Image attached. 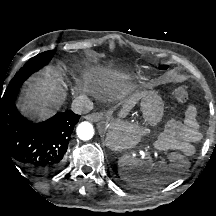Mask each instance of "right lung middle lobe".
<instances>
[{"label":"right lung middle lobe","instance_id":"right-lung-middle-lobe-1","mask_svg":"<svg viewBox=\"0 0 216 216\" xmlns=\"http://www.w3.org/2000/svg\"><path fill=\"white\" fill-rule=\"evenodd\" d=\"M54 50L46 51L31 58L27 63L16 73L11 80L3 96L17 92L24 81L34 72L44 67L54 55ZM2 96V97H3ZM1 98V95H0Z\"/></svg>","mask_w":216,"mask_h":216}]
</instances>
